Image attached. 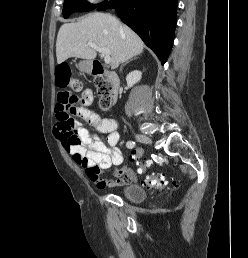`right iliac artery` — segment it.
Here are the masks:
<instances>
[{
  "label": "right iliac artery",
  "mask_w": 248,
  "mask_h": 258,
  "mask_svg": "<svg viewBox=\"0 0 248 258\" xmlns=\"http://www.w3.org/2000/svg\"><path fill=\"white\" fill-rule=\"evenodd\" d=\"M136 143L134 141H128L126 146L129 149H132L133 147H135Z\"/></svg>",
  "instance_id": "1"
}]
</instances>
